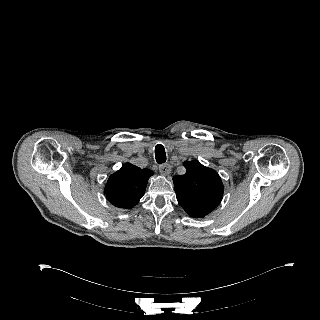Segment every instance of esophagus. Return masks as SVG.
Masks as SVG:
<instances>
[{
  "label": "esophagus",
  "mask_w": 320,
  "mask_h": 320,
  "mask_svg": "<svg viewBox=\"0 0 320 320\" xmlns=\"http://www.w3.org/2000/svg\"><path fill=\"white\" fill-rule=\"evenodd\" d=\"M159 171L161 174L163 175H169L171 172V167L169 164L165 163V164H161L159 165Z\"/></svg>",
  "instance_id": "esophagus-1"
}]
</instances>
